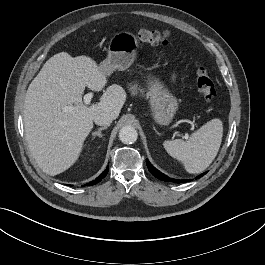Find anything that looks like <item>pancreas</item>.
<instances>
[{
    "instance_id": "cf45deb5",
    "label": "pancreas",
    "mask_w": 265,
    "mask_h": 265,
    "mask_svg": "<svg viewBox=\"0 0 265 265\" xmlns=\"http://www.w3.org/2000/svg\"><path fill=\"white\" fill-rule=\"evenodd\" d=\"M130 90H131L132 94L134 95V94H137L138 88H137V86L134 85L130 88ZM140 92L142 93L143 91L140 89Z\"/></svg>"
}]
</instances>
